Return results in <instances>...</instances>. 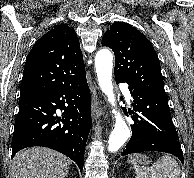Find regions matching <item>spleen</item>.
Segmentation results:
<instances>
[{
  "label": "spleen",
  "mask_w": 194,
  "mask_h": 178,
  "mask_svg": "<svg viewBox=\"0 0 194 178\" xmlns=\"http://www.w3.org/2000/svg\"><path fill=\"white\" fill-rule=\"evenodd\" d=\"M142 156L137 155L133 159L136 178H180V167L177 161L170 155H164L152 164L149 169L140 167Z\"/></svg>",
  "instance_id": "1"
}]
</instances>
